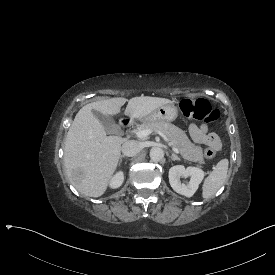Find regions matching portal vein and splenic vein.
Instances as JSON below:
<instances>
[{"instance_id":"18ae733b","label":"portal vein and splenic vein","mask_w":275,"mask_h":275,"mask_svg":"<svg viewBox=\"0 0 275 275\" xmlns=\"http://www.w3.org/2000/svg\"><path fill=\"white\" fill-rule=\"evenodd\" d=\"M150 133H152L151 130L137 131V132H135V136H136L137 138H143V137L149 135ZM171 145H172V143H168V146H171ZM174 151H175L177 154H179V150H178V149L174 148Z\"/></svg>"}]
</instances>
